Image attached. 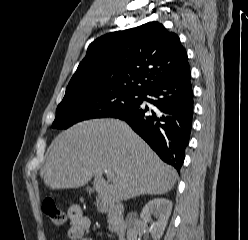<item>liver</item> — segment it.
Returning <instances> with one entry per match:
<instances>
[{
  "label": "liver",
  "instance_id": "1",
  "mask_svg": "<svg viewBox=\"0 0 248 240\" xmlns=\"http://www.w3.org/2000/svg\"><path fill=\"white\" fill-rule=\"evenodd\" d=\"M104 170L109 171L108 181ZM40 175L53 190L78 188L94 177L99 198L110 204L165 194L177 179V172L117 119L84 121L60 133Z\"/></svg>",
  "mask_w": 248,
  "mask_h": 240
}]
</instances>
